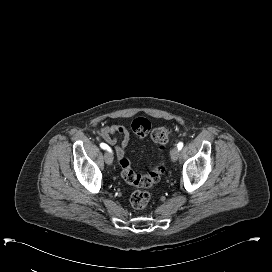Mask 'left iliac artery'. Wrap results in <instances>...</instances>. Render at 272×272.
<instances>
[{"instance_id": "1", "label": "left iliac artery", "mask_w": 272, "mask_h": 272, "mask_svg": "<svg viewBox=\"0 0 272 272\" xmlns=\"http://www.w3.org/2000/svg\"><path fill=\"white\" fill-rule=\"evenodd\" d=\"M182 147H183V143H182V142H179L178 145H177L178 150H181Z\"/></svg>"}]
</instances>
